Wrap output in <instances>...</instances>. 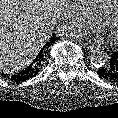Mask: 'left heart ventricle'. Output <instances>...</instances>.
Wrapping results in <instances>:
<instances>
[{
    "label": "left heart ventricle",
    "mask_w": 118,
    "mask_h": 118,
    "mask_svg": "<svg viewBox=\"0 0 118 118\" xmlns=\"http://www.w3.org/2000/svg\"><path fill=\"white\" fill-rule=\"evenodd\" d=\"M118 5H116V7H117ZM114 34H118V21H117V23H116V25H115V28H114Z\"/></svg>",
    "instance_id": "1"
}]
</instances>
